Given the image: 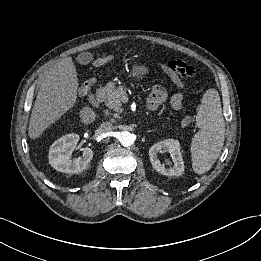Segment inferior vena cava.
I'll list each match as a JSON object with an SVG mask.
<instances>
[{"label":"inferior vena cava","mask_w":261,"mask_h":261,"mask_svg":"<svg viewBox=\"0 0 261 261\" xmlns=\"http://www.w3.org/2000/svg\"><path fill=\"white\" fill-rule=\"evenodd\" d=\"M113 130V126L110 122H103L100 127H99V132L100 133H106V132H110Z\"/></svg>","instance_id":"602c4592"}]
</instances>
